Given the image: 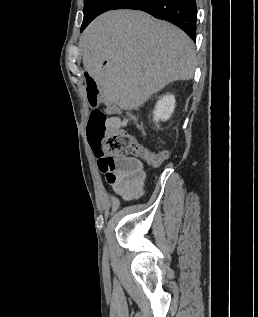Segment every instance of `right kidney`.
Returning <instances> with one entry per match:
<instances>
[{
	"instance_id": "ca27d5eb",
	"label": "right kidney",
	"mask_w": 258,
	"mask_h": 317,
	"mask_svg": "<svg viewBox=\"0 0 258 317\" xmlns=\"http://www.w3.org/2000/svg\"><path fill=\"white\" fill-rule=\"evenodd\" d=\"M175 96L174 94H164L160 100H157L155 104V110H153V120H168L175 108Z\"/></svg>"
}]
</instances>
